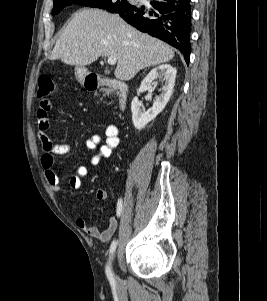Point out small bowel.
<instances>
[{
  "instance_id": "1",
  "label": "small bowel",
  "mask_w": 267,
  "mask_h": 301,
  "mask_svg": "<svg viewBox=\"0 0 267 301\" xmlns=\"http://www.w3.org/2000/svg\"><path fill=\"white\" fill-rule=\"evenodd\" d=\"M52 108V102L48 98H41L37 111V134L43 145V154L41 156V165L45 173V177L52 190L60 189V179L53 169L54 158L56 156L65 155L70 151V146L65 143H53L48 134L49 128V111ZM119 130L115 124H107L104 128V140L100 134H93L86 140V148L98 152L91 157L90 163L92 166H97L102 159L111 156L112 151L119 144ZM88 174L87 166H79L75 173L69 179L68 184L72 190H78L82 185V179ZM108 194L105 190L99 189L96 193V198L100 201L106 200ZM117 208L115 215L110 217L105 227L100 228L90 225L84 218H77L76 225L91 238H97L102 242H108L114 235L118 226Z\"/></svg>"
}]
</instances>
